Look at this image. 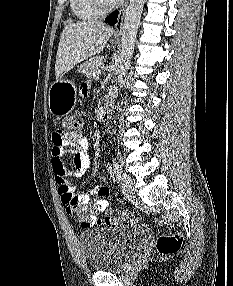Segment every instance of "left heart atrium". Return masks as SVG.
<instances>
[{
  "instance_id": "left-heart-atrium-1",
  "label": "left heart atrium",
  "mask_w": 233,
  "mask_h": 286,
  "mask_svg": "<svg viewBox=\"0 0 233 286\" xmlns=\"http://www.w3.org/2000/svg\"><path fill=\"white\" fill-rule=\"evenodd\" d=\"M113 2H117V3H119L121 0H112Z\"/></svg>"
}]
</instances>
